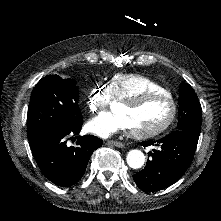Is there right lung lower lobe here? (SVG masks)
I'll list each match as a JSON object with an SVG mask.
<instances>
[{"instance_id":"98d812e1","label":"right lung lower lobe","mask_w":221,"mask_h":221,"mask_svg":"<svg viewBox=\"0 0 221 221\" xmlns=\"http://www.w3.org/2000/svg\"><path fill=\"white\" fill-rule=\"evenodd\" d=\"M82 124L83 121L70 129L44 131L28 138L42 173L60 187L76 184L84 175L93 151L102 146V140L93 135L79 136L76 147L66 145V138L78 135Z\"/></svg>"}]
</instances>
